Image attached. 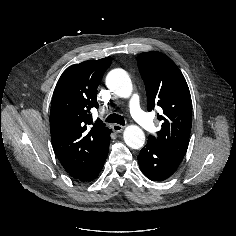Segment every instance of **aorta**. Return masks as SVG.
<instances>
[{"label":"aorta","mask_w":236,"mask_h":236,"mask_svg":"<svg viewBox=\"0 0 236 236\" xmlns=\"http://www.w3.org/2000/svg\"><path fill=\"white\" fill-rule=\"evenodd\" d=\"M107 87L120 97L127 98L132 93V82L123 69L111 70L106 77ZM124 141L132 149H140L145 143V134L137 125L127 126L124 130Z\"/></svg>","instance_id":"1"}]
</instances>
